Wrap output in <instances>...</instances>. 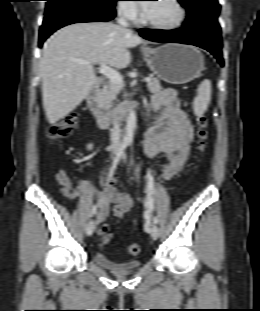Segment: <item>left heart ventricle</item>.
I'll use <instances>...</instances> for the list:
<instances>
[{
    "instance_id": "b2bd125f",
    "label": "left heart ventricle",
    "mask_w": 260,
    "mask_h": 311,
    "mask_svg": "<svg viewBox=\"0 0 260 311\" xmlns=\"http://www.w3.org/2000/svg\"><path fill=\"white\" fill-rule=\"evenodd\" d=\"M147 18L157 24H170L178 18V10L170 0H158L145 11Z\"/></svg>"
}]
</instances>
